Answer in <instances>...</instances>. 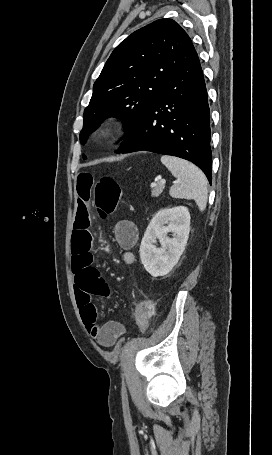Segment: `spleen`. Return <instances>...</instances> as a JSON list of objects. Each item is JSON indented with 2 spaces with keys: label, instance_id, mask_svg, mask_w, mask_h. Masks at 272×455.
Masks as SVG:
<instances>
[{
  "label": "spleen",
  "instance_id": "1",
  "mask_svg": "<svg viewBox=\"0 0 272 455\" xmlns=\"http://www.w3.org/2000/svg\"><path fill=\"white\" fill-rule=\"evenodd\" d=\"M161 162L177 178L170 188V195L173 198L193 199L199 210L204 211L208 199V183L204 173L192 163L177 157L163 155Z\"/></svg>",
  "mask_w": 272,
  "mask_h": 455
}]
</instances>
